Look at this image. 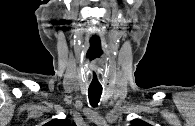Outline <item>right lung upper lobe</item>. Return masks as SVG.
Returning <instances> with one entry per match:
<instances>
[{
	"label": "right lung upper lobe",
	"mask_w": 195,
	"mask_h": 126,
	"mask_svg": "<svg viewBox=\"0 0 195 126\" xmlns=\"http://www.w3.org/2000/svg\"><path fill=\"white\" fill-rule=\"evenodd\" d=\"M74 123H70L68 119H54L48 123H46L44 126H74Z\"/></svg>",
	"instance_id": "1"
}]
</instances>
